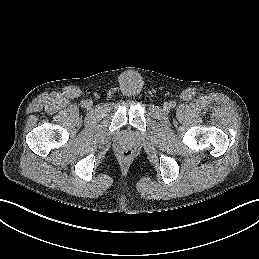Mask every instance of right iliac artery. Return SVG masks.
Wrapping results in <instances>:
<instances>
[{
  "label": "right iliac artery",
  "mask_w": 259,
  "mask_h": 259,
  "mask_svg": "<svg viewBox=\"0 0 259 259\" xmlns=\"http://www.w3.org/2000/svg\"><path fill=\"white\" fill-rule=\"evenodd\" d=\"M81 104H82V106H86L87 105V101L84 100V101L81 102Z\"/></svg>",
  "instance_id": "right-iliac-artery-1"
}]
</instances>
